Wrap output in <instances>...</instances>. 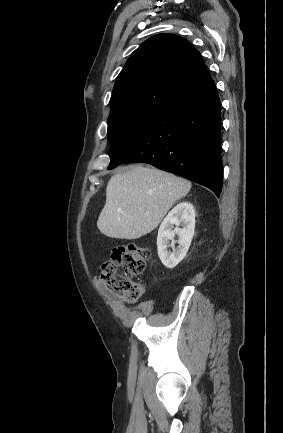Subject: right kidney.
<instances>
[{
	"mask_svg": "<svg viewBox=\"0 0 283 433\" xmlns=\"http://www.w3.org/2000/svg\"><path fill=\"white\" fill-rule=\"evenodd\" d=\"M194 229L195 209L191 203L181 202L168 213L160 225L157 236L158 256L165 267L172 269L184 259L190 247ZM175 234L179 236L176 248L174 242L169 245V241L173 240ZM169 246L172 252L167 250Z\"/></svg>",
	"mask_w": 283,
	"mask_h": 433,
	"instance_id": "1",
	"label": "right kidney"
}]
</instances>
